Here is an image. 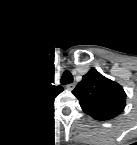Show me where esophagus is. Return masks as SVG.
I'll use <instances>...</instances> for the list:
<instances>
[{"label": "esophagus", "mask_w": 137, "mask_h": 145, "mask_svg": "<svg viewBox=\"0 0 137 145\" xmlns=\"http://www.w3.org/2000/svg\"><path fill=\"white\" fill-rule=\"evenodd\" d=\"M66 87L69 88V89H71V88L74 87V84H68V85H66Z\"/></svg>", "instance_id": "obj_1"}]
</instances>
